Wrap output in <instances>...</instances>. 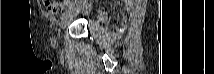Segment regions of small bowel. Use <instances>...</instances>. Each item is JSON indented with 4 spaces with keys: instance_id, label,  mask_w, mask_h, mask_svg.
<instances>
[{
    "instance_id": "obj_1",
    "label": "small bowel",
    "mask_w": 214,
    "mask_h": 74,
    "mask_svg": "<svg viewBox=\"0 0 214 74\" xmlns=\"http://www.w3.org/2000/svg\"><path fill=\"white\" fill-rule=\"evenodd\" d=\"M50 4H52L53 2H49ZM49 3H48V7L50 8V7H52V5H49ZM63 6H61V8H62ZM57 13V10H54V12H53V14H56Z\"/></svg>"
}]
</instances>
